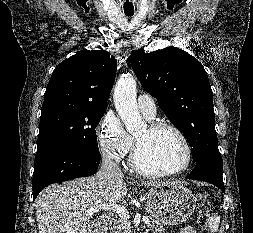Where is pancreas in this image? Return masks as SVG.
Wrapping results in <instances>:
<instances>
[{
    "mask_svg": "<svg viewBox=\"0 0 253 233\" xmlns=\"http://www.w3.org/2000/svg\"><path fill=\"white\" fill-rule=\"evenodd\" d=\"M150 220V224L147 225L148 230L152 233H166V229L161 224L156 223L153 219ZM110 233H132L131 224L129 221L123 220L122 218L114 220Z\"/></svg>",
    "mask_w": 253,
    "mask_h": 233,
    "instance_id": "obj_1",
    "label": "pancreas"
}]
</instances>
